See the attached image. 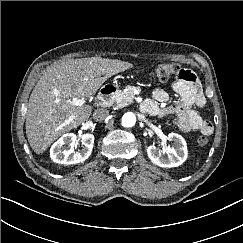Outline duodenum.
Returning <instances> with one entry per match:
<instances>
[{"label": "duodenum", "mask_w": 243, "mask_h": 243, "mask_svg": "<svg viewBox=\"0 0 243 243\" xmlns=\"http://www.w3.org/2000/svg\"><path fill=\"white\" fill-rule=\"evenodd\" d=\"M117 87L115 85L109 84L104 86L98 96H97V105L103 107L111 99V97L116 93Z\"/></svg>", "instance_id": "obj_1"}]
</instances>
